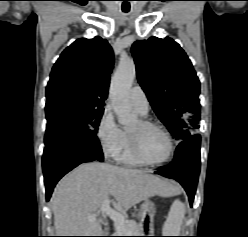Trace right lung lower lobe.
Here are the masks:
<instances>
[{
  "mask_svg": "<svg viewBox=\"0 0 248 237\" xmlns=\"http://www.w3.org/2000/svg\"><path fill=\"white\" fill-rule=\"evenodd\" d=\"M94 160L103 161L97 136L46 130L42 165L47 200L61 177L79 164Z\"/></svg>",
  "mask_w": 248,
  "mask_h": 237,
  "instance_id": "obj_1",
  "label": "right lung lower lobe"
}]
</instances>
